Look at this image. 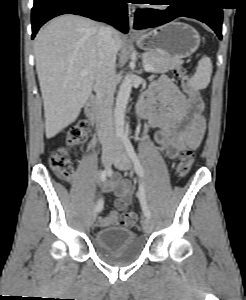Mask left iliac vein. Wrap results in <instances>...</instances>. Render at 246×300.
Returning a JSON list of instances; mask_svg holds the SVG:
<instances>
[{"label":"left iliac vein","instance_id":"1","mask_svg":"<svg viewBox=\"0 0 246 300\" xmlns=\"http://www.w3.org/2000/svg\"><path fill=\"white\" fill-rule=\"evenodd\" d=\"M113 164L116 168L122 171H126L131 167L130 159L124 148H121L118 152H116ZM142 228L145 233H151L153 230L152 220L145 217L142 221Z\"/></svg>","mask_w":246,"mask_h":300}]
</instances>
